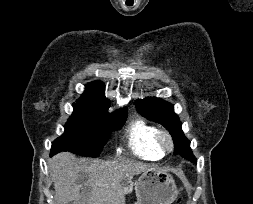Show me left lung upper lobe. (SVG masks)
Instances as JSON below:
<instances>
[{"mask_svg": "<svg viewBox=\"0 0 253 204\" xmlns=\"http://www.w3.org/2000/svg\"><path fill=\"white\" fill-rule=\"evenodd\" d=\"M137 110L149 120L160 123L172 135L174 141V154L188 158L192 154L190 141L184 137L181 122L174 113L172 104L160 98L147 97L135 102Z\"/></svg>", "mask_w": 253, "mask_h": 204, "instance_id": "obj_1", "label": "left lung upper lobe"}]
</instances>
